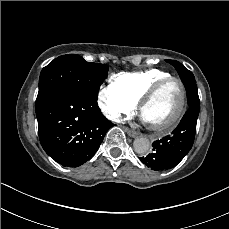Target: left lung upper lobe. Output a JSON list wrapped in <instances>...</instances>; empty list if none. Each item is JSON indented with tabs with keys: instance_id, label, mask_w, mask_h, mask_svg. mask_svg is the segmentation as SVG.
<instances>
[{
	"instance_id": "left-lung-upper-lobe-1",
	"label": "left lung upper lobe",
	"mask_w": 229,
	"mask_h": 229,
	"mask_svg": "<svg viewBox=\"0 0 229 229\" xmlns=\"http://www.w3.org/2000/svg\"><path fill=\"white\" fill-rule=\"evenodd\" d=\"M166 62L170 63L171 65L175 67L182 82L190 81L191 79L194 78V75L192 74V72L186 69L180 62L175 61V60H166Z\"/></svg>"
}]
</instances>
